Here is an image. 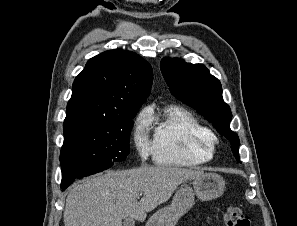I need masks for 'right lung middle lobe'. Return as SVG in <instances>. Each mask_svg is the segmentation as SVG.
Listing matches in <instances>:
<instances>
[{
  "label": "right lung middle lobe",
  "instance_id": "obj_1",
  "mask_svg": "<svg viewBox=\"0 0 297 226\" xmlns=\"http://www.w3.org/2000/svg\"><path fill=\"white\" fill-rule=\"evenodd\" d=\"M140 105L128 107L114 121L74 119L66 121L60 163L62 176L93 167H111L126 159L130 152L132 118Z\"/></svg>",
  "mask_w": 297,
  "mask_h": 226
}]
</instances>
